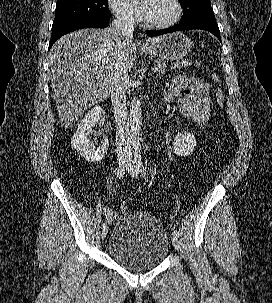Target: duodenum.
<instances>
[{
  "label": "duodenum",
  "instance_id": "duodenum-1",
  "mask_svg": "<svg viewBox=\"0 0 272 303\" xmlns=\"http://www.w3.org/2000/svg\"><path fill=\"white\" fill-rule=\"evenodd\" d=\"M162 99L163 101L167 102L169 101L170 97L166 93H164Z\"/></svg>",
  "mask_w": 272,
  "mask_h": 303
}]
</instances>
